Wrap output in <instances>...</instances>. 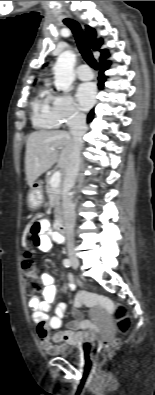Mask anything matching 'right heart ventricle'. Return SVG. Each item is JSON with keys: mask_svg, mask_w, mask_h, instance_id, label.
<instances>
[{"mask_svg": "<svg viewBox=\"0 0 155 395\" xmlns=\"http://www.w3.org/2000/svg\"><path fill=\"white\" fill-rule=\"evenodd\" d=\"M52 98L53 94L51 91L47 87H43L34 99L32 103V121L37 128H56L52 115Z\"/></svg>", "mask_w": 155, "mask_h": 395, "instance_id": "right-heart-ventricle-1", "label": "right heart ventricle"}]
</instances>
